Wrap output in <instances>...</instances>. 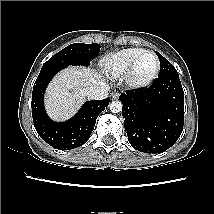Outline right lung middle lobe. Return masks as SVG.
<instances>
[{"mask_svg": "<svg viewBox=\"0 0 214 214\" xmlns=\"http://www.w3.org/2000/svg\"><path fill=\"white\" fill-rule=\"evenodd\" d=\"M99 51L100 45L96 43H74L52 56L44 63L41 70L47 68H65L69 65L89 66L91 59L94 58Z\"/></svg>", "mask_w": 214, "mask_h": 214, "instance_id": "1", "label": "right lung middle lobe"}]
</instances>
